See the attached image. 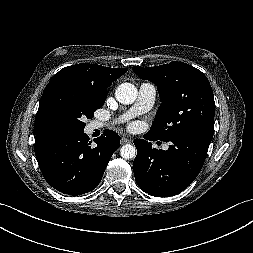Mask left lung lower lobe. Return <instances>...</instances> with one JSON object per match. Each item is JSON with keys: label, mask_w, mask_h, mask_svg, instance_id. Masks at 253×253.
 <instances>
[{"label": "left lung lower lobe", "mask_w": 253, "mask_h": 253, "mask_svg": "<svg viewBox=\"0 0 253 253\" xmlns=\"http://www.w3.org/2000/svg\"><path fill=\"white\" fill-rule=\"evenodd\" d=\"M135 139L137 156L133 170L138 186L156 197L176 195L186 189L197 177L204 164L212 135L192 133L171 140L168 150L152 148L156 141L150 134ZM166 141V142H168Z\"/></svg>", "instance_id": "obj_1"}]
</instances>
